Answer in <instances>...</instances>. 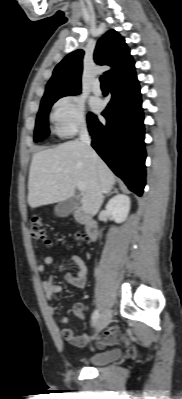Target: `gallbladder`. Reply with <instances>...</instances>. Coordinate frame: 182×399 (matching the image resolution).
<instances>
[{
  "label": "gallbladder",
  "instance_id": "gallbladder-1",
  "mask_svg": "<svg viewBox=\"0 0 182 399\" xmlns=\"http://www.w3.org/2000/svg\"><path fill=\"white\" fill-rule=\"evenodd\" d=\"M79 203H80L79 196L70 197V198L60 202L55 207V210H54L55 214L59 217H67L79 206Z\"/></svg>",
  "mask_w": 182,
  "mask_h": 399
}]
</instances>
